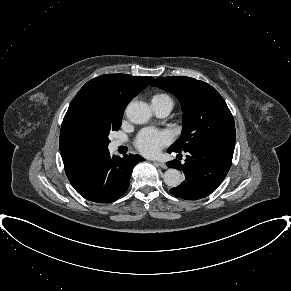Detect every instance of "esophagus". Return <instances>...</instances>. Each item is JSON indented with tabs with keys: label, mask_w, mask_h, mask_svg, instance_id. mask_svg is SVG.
Listing matches in <instances>:
<instances>
[{
	"label": "esophagus",
	"mask_w": 291,
	"mask_h": 291,
	"mask_svg": "<svg viewBox=\"0 0 291 291\" xmlns=\"http://www.w3.org/2000/svg\"><path fill=\"white\" fill-rule=\"evenodd\" d=\"M154 164L160 166L163 169L167 168V166H166V164L164 162L154 161Z\"/></svg>",
	"instance_id": "obj_1"
}]
</instances>
